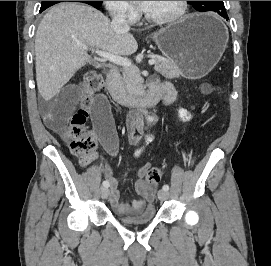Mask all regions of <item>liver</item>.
<instances>
[{"instance_id": "obj_1", "label": "liver", "mask_w": 271, "mask_h": 266, "mask_svg": "<svg viewBox=\"0 0 271 266\" xmlns=\"http://www.w3.org/2000/svg\"><path fill=\"white\" fill-rule=\"evenodd\" d=\"M84 46L115 56L131 55L138 49L132 34L116 33L110 20L92 6L60 3L52 7L35 38L36 81L44 100H51L90 62Z\"/></svg>"}]
</instances>
